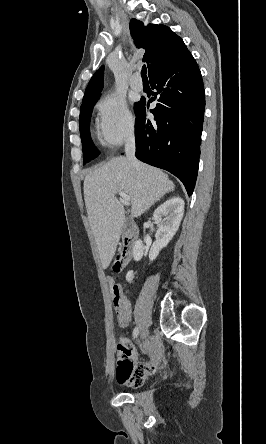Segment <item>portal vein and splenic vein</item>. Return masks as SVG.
<instances>
[{
    "label": "portal vein and splenic vein",
    "mask_w": 266,
    "mask_h": 444,
    "mask_svg": "<svg viewBox=\"0 0 266 444\" xmlns=\"http://www.w3.org/2000/svg\"><path fill=\"white\" fill-rule=\"evenodd\" d=\"M120 197L122 198L123 202L130 203V196L125 194L124 192H119Z\"/></svg>",
    "instance_id": "obj_1"
}]
</instances>
